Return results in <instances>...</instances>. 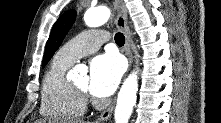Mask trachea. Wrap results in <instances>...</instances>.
Masks as SVG:
<instances>
[{
  "instance_id": "obj_1",
  "label": "trachea",
  "mask_w": 221,
  "mask_h": 123,
  "mask_svg": "<svg viewBox=\"0 0 221 123\" xmlns=\"http://www.w3.org/2000/svg\"><path fill=\"white\" fill-rule=\"evenodd\" d=\"M115 42L118 46H123L125 43V37L122 33L118 32L115 34Z\"/></svg>"
}]
</instances>
